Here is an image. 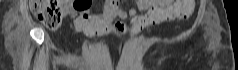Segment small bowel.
Returning <instances> with one entry per match:
<instances>
[{"mask_svg":"<svg viewBox=\"0 0 238 70\" xmlns=\"http://www.w3.org/2000/svg\"><path fill=\"white\" fill-rule=\"evenodd\" d=\"M177 4V1L173 0H137L136 8L123 10L119 8L118 2H107L102 13L91 14L89 11L90 0H79L78 5L70 0H62L65 12L71 17L72 33H82L90 38L108 34L116 18L130 17L132 32H138L149 25L172 20L173 16L166 17L165 14ZM139 12L144 14H139ZM113 30L116 34L122 35L127 33L129 28L124 24L117 23Z\"/></svg>","mask_w":238,"mask_h":70,"instance_id":"1","label":"small bowel"}]
</instances>
